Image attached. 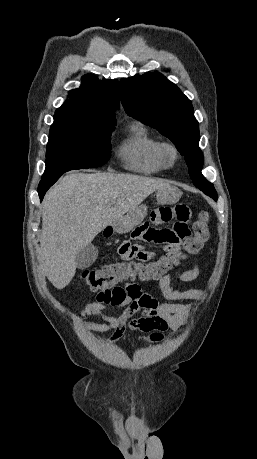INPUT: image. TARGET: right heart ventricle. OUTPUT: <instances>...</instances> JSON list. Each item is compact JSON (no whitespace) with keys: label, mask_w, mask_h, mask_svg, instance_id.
I'll return each instance as SVG.
<instances>
[{"label":"right heart ventricle","mask_w":257,"mask_h":459,"mask_svg":"<svg viewBox=\"0 0 257 459\" xmlns=\"http://www.w3.org/2000/svg\"><path fill=\"white\" fill-rule=\"evenodd\" d=\"M160 141L141 123L130 126L129 135L118 149L123 166L131 171L151 175L165 169L158 158Z\"/></svg>","instance_id":"1"}]
</instances>
